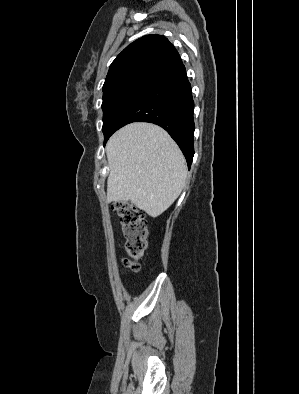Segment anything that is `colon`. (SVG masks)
<instances>
[{
  "label": "colon",
  "instance_id": "1",
  "mask_svg": "<svg viewBox=\"0 0 299 394\" xmlns=\"http://www.w3.org/2000/svg\"><path fill=\"white\" fill-rule=\"evenodd\" d=\"M117 213L125 237L127 257L124 264L132 271L140 269V260L146 249L147 226L143 213L128 202H117L112 206Z\"/></svg>",
  "mask_w": 299,
  "mask_h": 394
}]
</instances>
